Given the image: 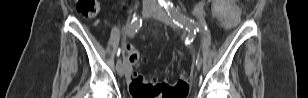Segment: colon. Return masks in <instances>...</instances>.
Segmentation results:
<instances>
[{
	"label": "colon",
	"mask_w": 308,
	"mask_h": 98,
	"mask_svg": "<svg viewBox=\"0 0 308 98\" xmlns=\"http://www.w3.org/2000/svg\"><path fill=\"white\" fill-rule=\"evenodd\" d=\"M76 9L80 15L92 18L99 12V3L97 0H78ZM126 49L127 51L131 50L129 46ZM129 61L137 64L142 61V58L137 53L130 52ZM130 89L136 98H185L189 91V83L184 75L173 84H158L136 74L130 83Z\"/></svg>",
	"instance_id": "5ec220e1"
}]
</instances>
